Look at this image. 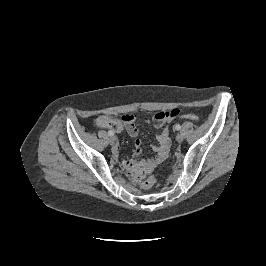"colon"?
I'll use <instances>...</instances> for the list:
<instances>
[{
    "label": "colon",
    "instance_id": "colon-1",
    "mask_svg": "<svg viewBox=\"0 0 266 266\" xmlns=\"http://www.w3.org/2000/svg\"><path fill=\"white\" fill-rule=\"evenodd\" d=\"M183 118L191 121H197L199 119L198 116L193 113H186L183 115ZM155 183V178L153 176H148L142 181L141 186L144 189H150L155 185Z\"/></svg>",
    "mask_w": 266,
    "mask_h": 266
}]
</instances>
